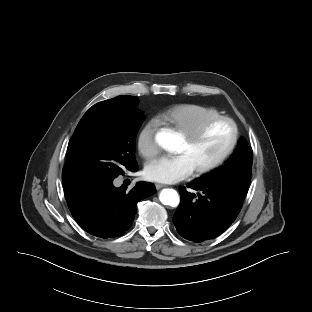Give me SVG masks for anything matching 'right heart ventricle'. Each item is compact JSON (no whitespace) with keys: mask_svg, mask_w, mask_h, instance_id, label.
Instances as JSON below:
<instances>
[{"mask_svg":"<svg viewBox=\"0 0 312 312\" xmlns=\"http://www.w3.org/2000/svg\"><path fill=\"white\" fill-rule=\"evenodd\" d=\"M219 115L220 112L214 108L198 104H180L165 110L159 117L162 122L186 134Z\"/></svg>","mask_w":312,"mask_h":312,"instance_id":"obj_1","label":"right heart ventricle"}]
</instances>
